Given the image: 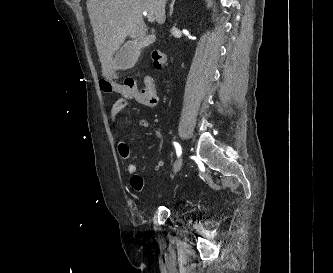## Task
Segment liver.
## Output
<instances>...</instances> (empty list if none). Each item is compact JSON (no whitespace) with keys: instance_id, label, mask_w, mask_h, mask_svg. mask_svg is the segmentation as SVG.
Wrapping results in <instances>:
<instances>
[{"instance_id":"6515ba94","label":"liver","mask_w":333,"mask_h":273,"mask_svg":"<svg viewBox=\"0 0 333 273\" xmlns=\"http://www.w3.org/2000/svg\"><path fill=\"white\" fill-rule=\"evenodd\" d=\"M167 0H87V10L94 32V40L102 76H117L116 54L126 39H146L147 28L143 14L153 15L160 25L165 23Z\"/></svg>"}]
</instances>
